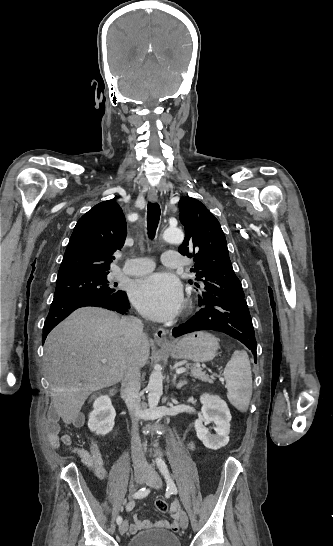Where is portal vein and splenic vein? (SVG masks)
<instances>
[{
	"label": "portal vein and splenic vein",
	"mask_w": 333,
	"mask_h": 546,
	"mask_svg": "<svg viewBox=\"0 0 333 546\" xmlns=\"http://www.w3.org/2000/svg\"><path fill=\"white\" fill-rule=\"evenodd\" d=\"M101 361H102V363H106V362H107V359H102ZM184 372H186V369H185V368H178V369H176V373H177V374H182V373H184Z\"/></svg>",
	"instance_id": "1"
}]
</instances>
